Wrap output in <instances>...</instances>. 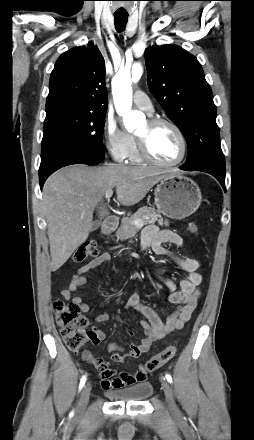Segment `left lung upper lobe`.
<instances>
[{
    "label": "left lung upper lobe",
    "instance_id": "1",
    "mask_svg": "<svg viewBox=\"0 0 254 440\" xmlns=\"http://www.w3.org/2000/svg\"><path fill=\"white\" fill-rule=\"evenodd\" d=\"M148 87L187 145L184 167L211 165L225 170L213 94L198 60L176 45L145 51Z\"/></svg>",
    "mask_w": 254,
    "mask_h": 440
}]
</instances>
